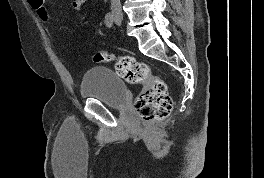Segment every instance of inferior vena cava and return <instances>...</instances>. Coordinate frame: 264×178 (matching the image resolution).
I'll list each match as a JSON object with an SVG mask.
<instances>
[{"instance_id":"obj_1","label":"inferior vena cava","mask_w":264,"mask_h":178,"mask_svg":"<svg viewBox=\"0 0 264 178\" xmlns=\"http://www.w3.org/2000/svg\"><path fill=\"white\" fill-rule=\"evenodd\" d=\"M111 9L113 13H121V3L120 0H111Z\"/></svg>"}]
</instances>
